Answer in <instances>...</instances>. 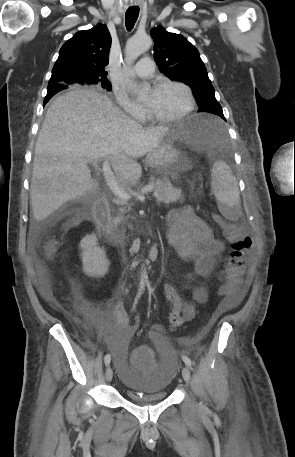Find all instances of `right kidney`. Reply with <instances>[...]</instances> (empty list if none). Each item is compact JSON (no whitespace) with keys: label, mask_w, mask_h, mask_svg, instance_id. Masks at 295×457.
<instances>
[{"label":"right kidney","mask_w":295,"mask_h":457,"mask_svg":"<svg viewBox=\"0 0 295 457\" xmlns=\"http://www.w3.org/2000/svg\"><path fill=\"white\" fill-rule=\"evenodd\" d=\"M97 241L96 235L91 234L85 236L80 242L81 250H83V270L90 276L103 277L108 271L109 261Z\"/></svg>","instance_id":"1"}]
</instances>
